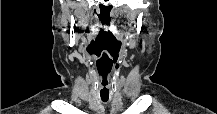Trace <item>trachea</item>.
Returning <instances> with one entry per match:
<instances>
[{"instance_id":"obj_1","label":"trachea","mask_w":217,"mask_h":114,"mask_svg":"<svg viewBox=\"0 0 217 114\" xmlns=\"http://www.w3.org/2000/svg\"><path fill=\"white\" fill-rule=\"evenodd\" d=\"M102 101H103V102H107V101H108V99H102Z\"/></svg>"}]
</instances>
